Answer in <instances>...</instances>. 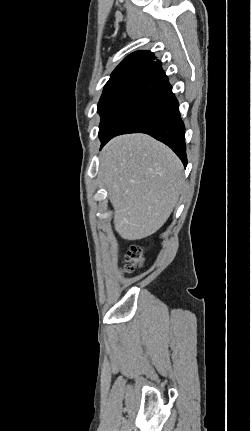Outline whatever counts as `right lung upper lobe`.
Returning a JSON list of instances; mask_svg holds the SVG:
<instances>
[{"label": "right lung upper lobe", "instance_id": "right-lung-upper-lobe-1", "mask_svg": "<svg viewBox=\"0 0 251 431\" xmlns=\"http://www.w3.org/2000/svg\"><path fill=\"white\" fill-rule=\"evenodd\" d=\"M155 56L150 51H136L129 56H127L113 71L116 72L122 68L128 66H144L148 68V66L154 61ZM112 73V74H113Z\"/></svg>", "mask_w": 251, "mask_h": 431}]
</instances>
